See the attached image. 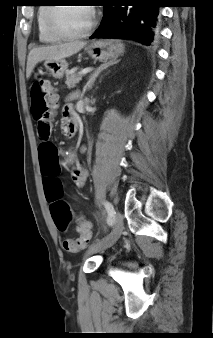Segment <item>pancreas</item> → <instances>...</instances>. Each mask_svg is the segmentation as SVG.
<instances>
[{"mask_svg":"<svg viewBox=\"0 0 213 338\" xmlns=\"http://www.w3.org/2000/svg\"><path fill=\"white\" fill-rule=\"evenodd\" d=\"M82 79V75L79 73H72L66 75V85L69 89L74 88L77 83H79Z\"/></svg>","mask_w":213,"mask_h":338,"instance_id":"pancreas-1","label":"pancreas"}]
</instances>
